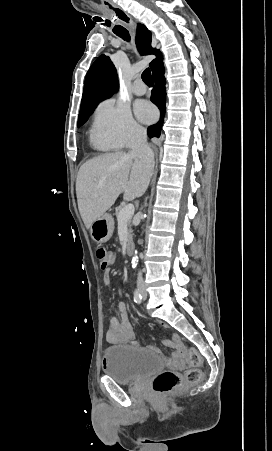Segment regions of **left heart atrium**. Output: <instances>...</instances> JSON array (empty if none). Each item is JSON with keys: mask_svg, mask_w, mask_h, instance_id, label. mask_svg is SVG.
I'll use <instances>...</instances> for the list:
<instances>
[{"mask_svg": "<svg viewBox=\"0 0 272 451\" xmlns=\"http://www.w3.org/2000/svg\"><path fill=\"white\" fill-rule=\"evenodd\" d=\"M155 110L149 103H143L139 109V117L144 122H150L155 117Z\"/></svg>", "mask_w": 272, "mask_h": 451, "instance_id": "left-heart-atrium-1", "label": "left heart atrium"}]
</instances>
